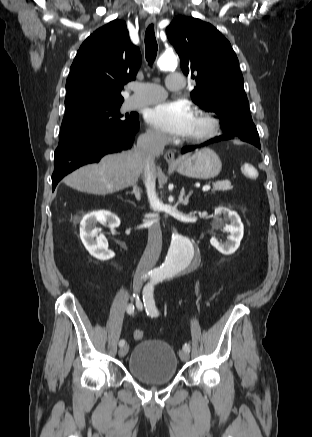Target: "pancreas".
<instances>
[{
  "instance_id": "cf45deb5",
  "label": "pancreas",
  "mask_w": 312,
  "mask_h": 437,
  "mask_svg": "<svg viewBox=\"0 0 312 437\" xmlns=\"http://www.w3.org/2000/svg\"><path fill=\"white\" fill-rule=\"evenodd\" d=\"M233 186L229 181L217 182L213 184V191H228L232 190Z\"/></svg>"
}]
</instances>
